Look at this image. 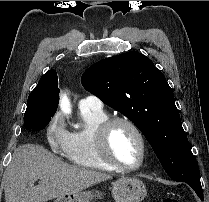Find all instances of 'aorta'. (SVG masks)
I'll use <instances>...</instances> for the list:
<instances>
[{"mask_svg":"<svg viewBox=\"0 0 209 202\" xmlns=\"http://www.w3.org/2000/svg\"><path fill=\"white\" fill-rule=\"evenodd\" d=\"M61 108L66 113H68L70 111V103H69V99L66 94L62 96Z\"/></svg>","mask_w":209,"mask_h":202,"instance_id":"aorta-1","label":"aorta"}]
</instances>
